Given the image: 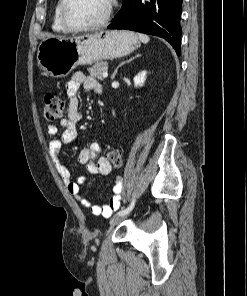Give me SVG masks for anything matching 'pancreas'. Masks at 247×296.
<instances>
[{
	"label": "pancreas",
	"instance_id": "pancreas-1",
	"mask_svg": "<svg viewBox=\"0 0 247 296\" xmlns=\"http://www.w3.org/2000/svg\"><path fill=\"white\" fill-rule=\"evenodd\" d=\"M106 69H107V63L101 61V62L96 63L92 67H89L88 72H89L91 77L101 80L102 79V73L104 71H106Z\"/></svg>",
	"mask_w": 247,
	"mask_h": 296
}]
</instances>
